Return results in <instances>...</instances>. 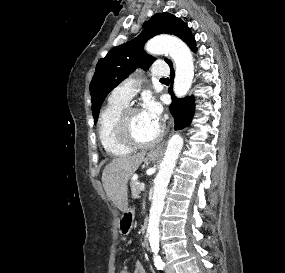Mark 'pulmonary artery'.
I'll return each mask as SVG.
<instances>
[{"label":"pulmonary artery","instance_id":"obj_1","mask_svg":"<svg viewBox=\"0 0 285 273\" xmlns=\"http://www.w3.org/2000/svg\"><path fill=\"white\" fill-rule=\"evenodd\" d=\"M152 75L163 78L169 75V67L163 61H155L151 69ZM138 90V82L129 79L117 86L111 93L110 100L127 104Z\"/></svg>","mask_w":285,"mask_h":273}]
</instances>
